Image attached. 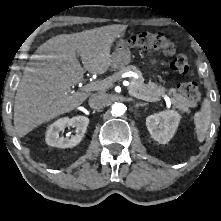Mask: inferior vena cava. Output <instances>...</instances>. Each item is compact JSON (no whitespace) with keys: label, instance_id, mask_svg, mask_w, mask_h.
I'll return each instance as SVG.
<instances>
[{"label":"inferior vena cava","instance_id":"obj_1","mask_svg":"<svg viewBox=\"0 0 221 221\" xmlns=\"http://www.w3.org/2000/svg\"><path fill=\"white\" fill-rule=\"evenodd\" d=\"M109 100L106 94L98 93L93 94L88 101L90 108L92 109H100L108 104Z\"/></svg>","mask_w":221,"mask_h":221}]
</instances>
